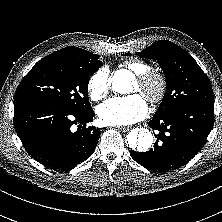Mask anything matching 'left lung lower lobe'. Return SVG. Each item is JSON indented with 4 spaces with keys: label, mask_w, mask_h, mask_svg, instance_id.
<instances>
[{
    "label": "left lung lower lobe",
    "mask_w": 222,
    "mask_h": 222,
    "mask_svg": "<svg viewBox=\"0 0 222 222\" xmlns=\"http://www.w3.org/2000/svg\"><path fill=\"white\" fill-rule=\"evenodd\" d=\"M157 141L148 152L131 151V157L148 170L163 173L189 162L204 146L214 125V105L190 104L154 116L148 123Z\"/></svg>",
    "instance_id": "obj_1"
}]
</instances>
